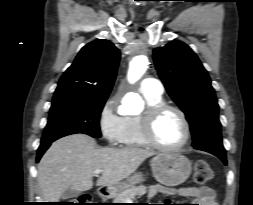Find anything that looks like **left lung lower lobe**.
<instances>
[{
	"instance_id": "1",
	"label": "left lung lower lobe",
	"mask_w": 253,
	"mask_h": 205,
	"mask_svg": "<svg viewBox=\"0 0 253 205\" xmlns=\"http://www.w3.org/2000/svg\"><path fill=\"white\" fill-rule=\"evenodd\" d=\"M212 154L217 156L218 158H220L223 161V163L225 165H227L226 155H220V154H217V153H212Z\"/></svg>"
}]
</instances>
